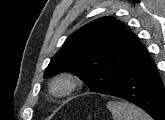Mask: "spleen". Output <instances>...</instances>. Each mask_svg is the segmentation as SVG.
I'll use <instances>...</instances> for the list:
<instances>
[{
	"label": "spleen",
	"instance_id": "3e777b00",
	"mask_svg": "<svg viewBox=\"0 0 165 120\" xmlns=\"http://www.w3.org/2000/svg\"><path fill=\"white\" fill-rule=\"evenodd\" d=\"M107 108L113 120H152L142 109L127 102L109 101Z\"/></svg>",
	"mask_w": 165,
	"mask_h": 120
}]
</instances>
